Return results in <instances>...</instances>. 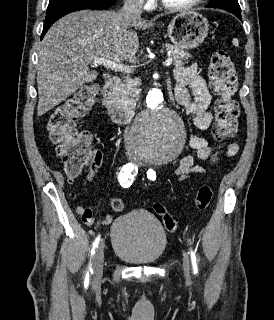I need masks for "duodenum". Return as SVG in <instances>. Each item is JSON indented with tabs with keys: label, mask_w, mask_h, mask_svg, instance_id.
Masks as SVG:
<instances>
[{
	"label": "duodenum",
	"mask_w": 274,
	"mask_h": 320,
	"mask_svg": "<svg viewBox=\"0 0 274 320\" xmlns=\"http://www.w3.org/2000/svg\"><path fill=\"white\" fill-rule=\"evenodd\" d=\"M119 76H110L104 85L102 101L103 105L110 115V117L116 123H128L133 118V111L130 108H127L121 105L117 100L116 90L120 85Z\"/></svg>",
	"instance_id": "duodenum-1"
}]
</instances>
